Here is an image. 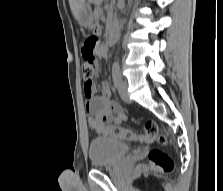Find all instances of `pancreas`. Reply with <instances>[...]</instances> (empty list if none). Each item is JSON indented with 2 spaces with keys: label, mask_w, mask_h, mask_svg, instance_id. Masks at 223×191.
<instances>
[{
  "label": "pancreas",
  "mask_w": 223,
  "mask_h": 191,
  "mask_svg": "<svg viewBox=\"0 0 223 191\" xmlns=\"http://www.w3.org/2000/svg\"><path fill=\"white\" fill-rule=\"evenodd\" d=\"M93 1L95 4H98L101 0H91Z\"/></svg>",
  "instance_id": "obj_1"
}]
</instances>
